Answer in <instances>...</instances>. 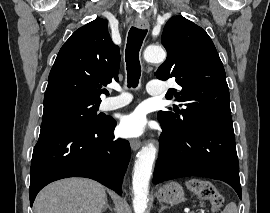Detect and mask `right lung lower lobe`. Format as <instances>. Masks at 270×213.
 Segmentation results:
<instances>
[{
  "label": "right lung lower lobe",
  "mask_w": 270,
  "mask_h": 213,
  "mask_svg": "<svg viewBox=\"0 0 270 213\" xmlns=\"http://www.w3.org/2000/svg\"><path fill=\"white\" fill-rule=\"evenodd\" d=\"M115 126L114 119L98 127L42 123L31 161L30 205L44 186L68 177L91 178L121 194L130 145L114 137Z\"/></svg>",
  "instance_id": "1"
}]
</instances>
